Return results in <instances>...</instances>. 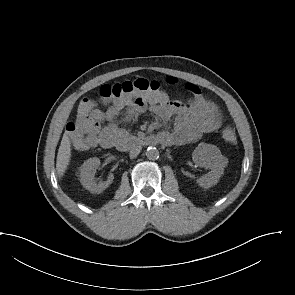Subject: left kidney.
I'll list each match as a JSON object with an SVG mask.
<instances>
[{
    "instance_id": "5707ae66",
    "label": "left kidney",
    "mask_w": 295,
    "mask_h": 295,
    "mask_svg": "<svg viewBox=\"0 0 295 295\" xmlns=\"http://www.w3.org/2000/svg\"><path fill=\"white\" fill-rule=\"evenodd\" d=\"M192 159L198 166L210 169L207 174L197 180L199 186L206 189L218 183L227 165V159L221 154L219 148L212 144L200 143L193 151Z\"/></svg>"
}]
</instances>
